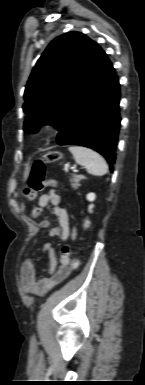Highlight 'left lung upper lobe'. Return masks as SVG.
I'll use <instances>...</instances> for the list:
<instances>
[{
	"label": "left lung upper lobe",
	"mask_w": 145,
	"mask_h": 385,
	"mask_svg": "<svg viewBox=\"0 0 145 385\" xmlns=\"http://www.w3.org/2000/svg\"><path fill=\"white\" fill-rule=\"evenodd\" d=\"M96 42L80 32L55 38L38 59L27 82L24 130L37 132L51 124L59 130L77 99L99 51Z\"/></svg>",
	"instance_id": "5c2ea615"
}]
</instances>
